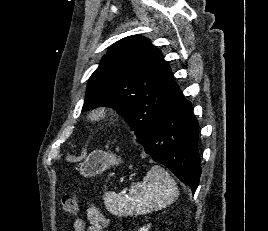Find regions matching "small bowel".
<instances>
[{
  "label": "small bowel",
  "instance_id": "small-bowel-1",
  "mask_svg": "<svg viewBox=\"0 0 268 231\" xmlns=\"http://www.w3.org/2000/svg\"><path fill=\"white\" fill-rule=\"evenodd\" d=\"M87 219L89 226L85 227L83 222L78 221L75 225L77 231H102L108 225V217L98 208L95 203H91L87 209Z\"/></svg>",
  "mask_w": 268,
  "mask_h": 231
}]
</instances>
